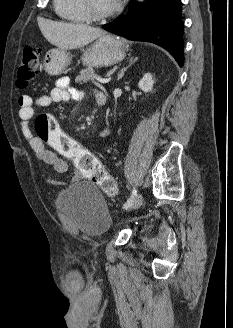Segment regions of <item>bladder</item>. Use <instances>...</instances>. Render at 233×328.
Listing matches in <instances>:
<instances>
[{
	"instance_id": "1",
	"label": "bladder",
	"mask_w": 233,
	"mask_h": 328,
	"mask_svg": "<svg viewBox=\"0 0 233 328\" xmlns=\"http://www.w3.org/2000/svg\"><path fill=\"white\" fill-rule=\"evenodd\" d=\"M56 205L87 236H99L111 227L107 203L92 183L78 182L61 191L56 198Z\"/></svg>"
}]
</instances>
